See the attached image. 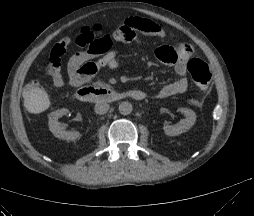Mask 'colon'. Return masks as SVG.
<instances>
[{
  "mask_svg": "<svg viewBox=\"0 0 254 216\" xmlns=\"http://www.w3.org/2000/svg\"><path fill=\"white\" fill-rule=\"evenodd\" d=\"M76 43L83 46H94L105 50L111 44V38L105 35L99 25L83 27L76 35ZM187 72L195 85L203 91H207L211 85L213 70L205 61L192 58L187 63ZM26 106L36 112L45 110L49 104L46 91L38 82L26 85L23 91Z\"/></svg>",
  "mask_w": 254,
  "mask_h": 216,
  "instance_id": "1",
  "label": "colon"
}]
</instances>
